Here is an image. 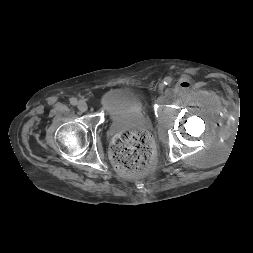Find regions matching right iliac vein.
I'll return each instance as SVG.
<instances>
[{
	"instance_id": "obj_1",
	"label": "right iliac vein",
	"mask_w": 253,
	"mask_h": 253,
	"mask_svg": "<svg viewBox=\"0 0 253 253\" xmlns=\"http://www.w3.org/2000/svg\"><path fill=\"white\" fill-rule=\"evenodd\" d=\"M78 109L81 112H85L88 109V106H87V104L84 101H79V103H78Z\"/></svg>"
}]
</instances>
